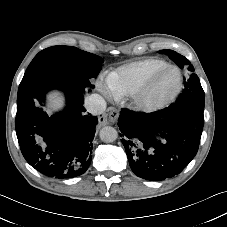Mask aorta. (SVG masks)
I'll return each mask as SVG.
<instances>
[{
	"instance_id": "762f6f07",
	"label": "aorta",
	"mask_w": 227,
	"mask_h": 227,
	"mask_svg": "<svg viewBox=\"0 0 227 227\" xmlns=\"http://www.w3.org/2000/svg\"><path fill=\"white\" fill-rule=\"evenodd\" d=\"M99 136L103 142L112 143L117 139L118 132L111 126H105L100 130Z\"/></svg>"
}]
</instances>
